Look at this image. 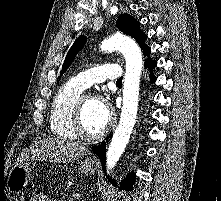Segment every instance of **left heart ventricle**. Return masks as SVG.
<instances>
[{
	"label": "left heart ventricle",
	"mask_w": 221,
	"mask_h": 201,
	"mask_svg": "<svg viewBox=\"0 0 221 201\" xmlns=\"http://www.w3.org/2000/svg\"><path fill=\"white\" fill-rule=\"evenodd\" d=\"M109 122L104 110V104L94 99H88L83 112V126L87 133L96 134L102 131Z\"/></svg>",
	"instance_id": "left-heart-ventricle-1"
}]
</instances>
